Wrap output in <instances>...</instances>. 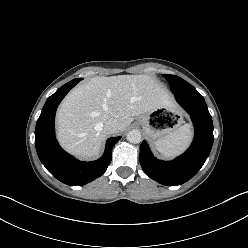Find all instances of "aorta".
I'll list each match as a JSON object with an SVG mask.
<instances>
[{
	"instance_id": "aorta-1",
	"label": "aorta",
	"mask_w": 248,
	"mask_h": 248,
	"mask_svg": "<svg viewBox=\"0 0 248 248\" xmlns=\"http://www.w3.org/2000/svg\"><path fill=\"white\" fill-rule=\"evenodd\" d=\"M126 138L130 143L138 144L141 142V133L138 130H132L128 132Z\"/></svg>"
}]
</instances>
